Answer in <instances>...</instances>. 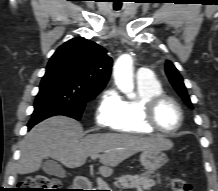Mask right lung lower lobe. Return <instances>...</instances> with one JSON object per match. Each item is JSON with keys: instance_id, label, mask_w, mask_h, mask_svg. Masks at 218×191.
<instances>
[{"instance_id": "obj_1", "label": "right lung lower lobe", "mask_w": 218, "mask_h": 191, "mask_svg": "<svg viewBox=\"0 0 218 191\" xmlns=\"http://www.w3.org/2000/svg\"><path fill=\"white\" fill-rule=\"evenodd\" d=\"M51 116H54L53 113L46 112V111H42L32 116L31 120L28 123V129H31L35 124Z\"/></svg>"}]
</instances>
